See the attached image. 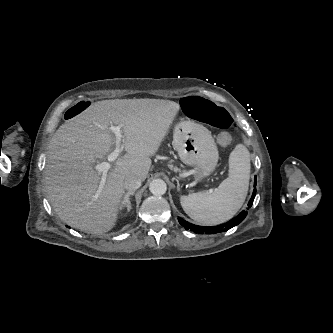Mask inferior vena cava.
<instances>
[{
    "label": "inferior vena cava",
    "mask_w": 333,
    "mask_h": 333,
    "mask_svg": "<svg viewBox=\"0 0 333 333\" xmlns=\"http://www.w3.org/2000/svg\"><path fill=\"white\" fill-rule=\"evenodd\" d=\"M141 186V179L131 176L125 179L124 188L128 192H134Z\"/></svg>",
    "instance_id": "obj_1"
}]
</instances>
